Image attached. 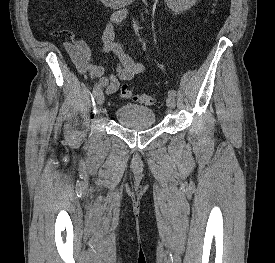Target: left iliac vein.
Returning a JSON list of instances; mask_svg holds the SVG:
<instances>
[{
	"label": "left iliac vein",
	"instance_id": "left-iliac-vein-1",
	"mask_svg": "<svg viewBox=\"0 0 275 263\" xmlns=\"http://www.w3.org/2000/svg\"><path fill=\"white\" fill-rule=\"evenodd\" d=\"M166 105L168 106L169 109H174L176 106V102H175V98L168 96V98L166 99Z\"/></svg>",
	"mask_w": 275,
	"mask_h": 263
}]
</instances>
